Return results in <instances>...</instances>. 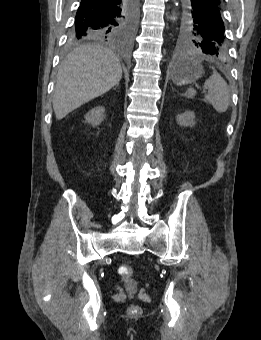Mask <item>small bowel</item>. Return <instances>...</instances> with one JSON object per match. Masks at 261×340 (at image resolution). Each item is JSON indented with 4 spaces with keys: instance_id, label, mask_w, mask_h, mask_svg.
<instances>
[{
    "instance_id": "small-bowel-1",
    "label": "small bowel",
    "mask_w": 261,
    "mask_h": 340,
    "mask_svg": "<svg viewBox=\"0 0 261 340\" xmlns=\"http://www.w3.org/2000/svg\"><path fill=\"white\" fill-rule=\"evenodd\" d=\"M135 291H136V289H135L134 286L129 285V286L127 287V293H128L129 295H133V294L135 293Z\"/></svg>"
}]
</instances>
